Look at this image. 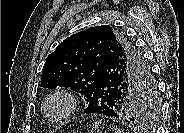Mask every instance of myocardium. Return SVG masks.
Returning a JSON list of instances; mask_svg holds the SVG:
<instances>
[{"instance_id": "f54148a6", "label": "myocardium", "mask_w": 184, "mask_h": 133, "mask_svg": "<svg viewBox=\"0 0 184 133\" xmlns=\"http://www.w3.org/2000/svg\"><path fill=\"white\" fill-rule=\"evenodd\" d=\"M60 101L62 104L61 110L56 114L49 112V107L52 102ZM77 109V100L72 92L66 89H55L48 94L43 102V112L46 117L54 122L62 121L70 117Z\"/></svg>"}]
</instances>
